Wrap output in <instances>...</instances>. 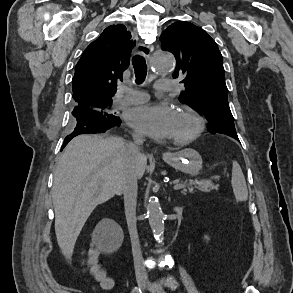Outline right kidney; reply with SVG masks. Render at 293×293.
I'll use <instances>...</instances> for the list:
<instances>
[{
    "mask_svg": "<svg viewBox=\"0 0 293 293\" xmlns=\"http://www.w3.org/2000/svg\"><path fill=\"white\" fill-rule=\"evenodd\" d=\"M123 238L124 236L120 226L116 222L110 221L108 234L100 244L101 249L106 253H113L120 248Z\"/></svg>",
    "mask_w": 293,
    "mask_h": 293,
    "instance_id": "1",
    "label": "right kidney"
}]
</instances>
